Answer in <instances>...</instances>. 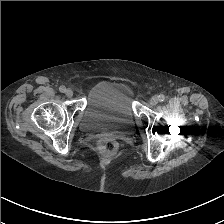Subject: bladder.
<instances>
[{"instance_id": "bladder-1", "label": "bladder", "mask_w": 224, "mask_h": 224, "mask_svg": "<svg viewBox=\"0 0 224 224\" xmlns=\"http://www.w3.org/2000/svg\"><path fill=\"white\" fill-rule=\"evenodd\" d=\"M79 126L89 135L130 134L134 129V116L126 87L109 79L95 84L88 93Z\"/></svg>"}]
</instances>
